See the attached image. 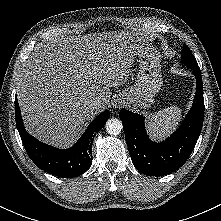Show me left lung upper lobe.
Masks as SVG:
<instances>
[{
	"mask_svg": "<svg viewBox=\"0 0 221 221\" xmlns=\"http://www.w3.org/2000/svg\"><path fill=\"white\" fill-rule=\"evenodd\" d=\"M181 56H182L181 62L184 65L188 66L192 70L196 69L200 70L194 55L186 45H184V48L181 52Z\"/></svg>",
	"mask_w": 221,
	"mask_h": 221,
	"instance_id": "1",
	"label": "left lung upper lobe"
}]
</instances>
